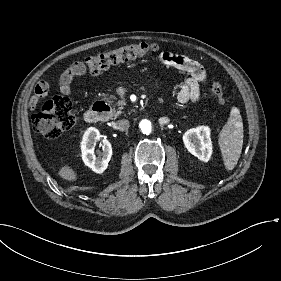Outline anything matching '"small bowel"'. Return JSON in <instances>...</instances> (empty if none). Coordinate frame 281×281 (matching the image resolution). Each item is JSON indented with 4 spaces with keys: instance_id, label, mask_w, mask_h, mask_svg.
I'll use <instances>...</instances> for the list:
<instances>
[{
    "instance_id": "small-bowel-1",
    "label": "small bowel",
    "mask_w": 281,
    "mask_h": 281,
    "mask_svg": "<svg viewBox=\"0 0 281 281\" xmlns=\"http://www.w3.org/2000/svg\"><path fill=\"white\" fill-rule=\"evenodd\" d=\"M160 61L167 67L187 72L190 75V77L184 81L180 88L177 96L178 102L181 104H187L197 101L200 96V87L207 81L204 67L196 60L172 52H163L160 55ZM84 72L85 69L81 62H76L66 69L61 74L59 79L60 93L63 95H68L71 91L73 79L83 75ZM34 91L36 94L32 95L30 98V110H34L37 104L40 103L41 98L39 95H46L49 93V82L46 80L36 81L34 84Z\"/></svg>"
}]
</instances>
